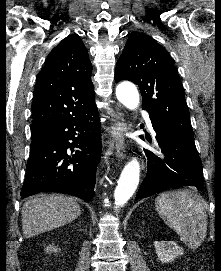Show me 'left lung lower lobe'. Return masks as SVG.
I'll return each instance as SVG.
<instances>
[{
    "mask_svg": "<svg viewBox=\"0 0 221 271\" xmlns=\"http://www.w3.org/2000/svg\"><path fill=\"white\" fill-rule=\"evenodd\" d=\"M150 119L163 156L158 157L144 149L148 169L136 199L182 186L192 185L200 190L203 185V171L194 139L182 135L163 122ZM140 138L144 140L143 135ZM146 139L150 142V135L147 134Z\"/></svg>",
    "mask_w": 221,
    "mask_h": 271,
    "instance_id": "0a47b994",
    "label": "left lung lower lobe"
}]
</instances>
